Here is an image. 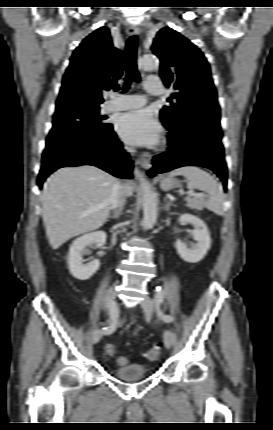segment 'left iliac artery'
<instances>
[{
	"mask_svg": "<svg viewBox=\"0 0 273 430\" xmlns=\"http://www.w3.org/2000/svg\"><path fill=\"white\" fill-rule=\"evenodd\" d=\"M163 299H164V290L162 289V287L157 286L155 288V296H154V303H155L156 308H157V314L161 320L169 323V322L173 321V317L170 315L164 314L159 309V305L163 302Z\"/></svg>",
	"mask_w": 273,
	"mask_h": 430,
	"instance_id": "1",
	"label": "left iliac artery"
}]
</instances>
